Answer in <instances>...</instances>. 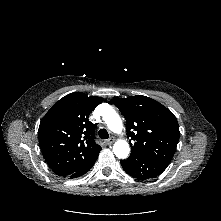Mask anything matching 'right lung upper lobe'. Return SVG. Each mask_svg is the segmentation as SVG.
<instances>
[{"instance_id":"obj_1","label":"right lung upper lobe","mask_w":221,"mask_h":221,"mask_svg":"<svg viewBox=\"0 0 221 221\" xmlns=\"http://www.w3.org/2000/svg\"><path fill=\"white\" fill-rule=\"evenodd\" d=\"M102 102L101 97L74 92L55 103L40 122L42 154L58 176L68 177L98 157L101 147L95 143V126L88 118Z\"/></svg>"}]
</instances>
